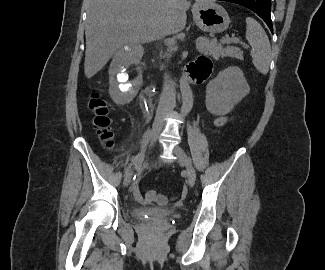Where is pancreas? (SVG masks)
<instances>
[{
	"label": "pancreas",
	"instance_id": "pancreas-1",
	"mask_svg": "<svg viewBox=\"0 0 325 270\" xmlns=\"http://www.w3.org/2000/svg\"><path fill=\"white\" fill-rule=\"evenodd\" d=\"M197 49L204 54L211 55L213 58L218 59L219 57H232L239 60H244L243 51L240 48L228 46L223 48L216 39L200 38L197 44ZM176 50L171 47L170 52ZM169 56V55H168Z\"/></svg>",
	"mask_w": 325,
	"mask_h": 270
}]
</instances>
